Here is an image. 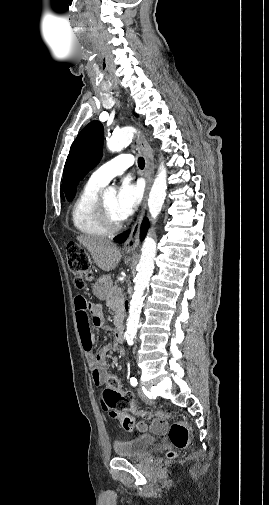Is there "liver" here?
<instances>
[{
    "label": "liver",
    "mask_w": 269,
    "mask_h": 505,
    "mask_svg": "<svg viewBox=\"0 0 269 505\" xmlns=\"http://www.w3.org/2000/svg\"><path fill=\"white\" fill-rule=\"evenodd\" d=\"M77 240L90 252L95 264L103 271L109 272L116 268L121 252L111 241L87 235L77 236Z\"/></svg>",
    "instance_id": "obj_1"
}]
</instances>
